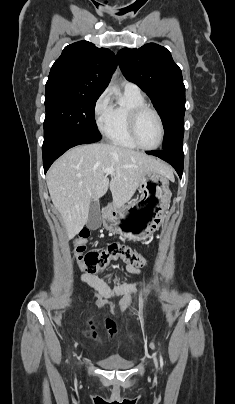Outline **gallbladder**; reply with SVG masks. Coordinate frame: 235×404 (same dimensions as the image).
<instances>
[{
    "instance_id": "obj_1",
    "label": "gallbladder",
    "mask_w": 235,
    "mask_h": 404,
    "mask_svg": "<svg viewBox=\"0 0 235 404\" xmlns=\"http://www.w3.org/2000/svg\"><path fill=\"white\" fill-rule=\"evenodd\" d=\"M101 221H102V219H101L99 205L96 201H92L90 204L89 214H88V219H87L86 225L90 230H95L100 227Z\"/></svg>"
}]
</instances>
